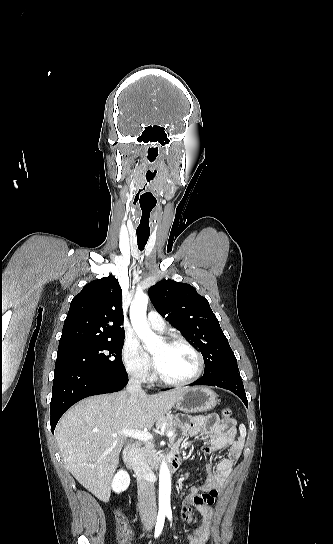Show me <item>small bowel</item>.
Listing matches in <instances>:
<instances>
[{"label": "small bowel", "instance_id": "c3829d8e", "mask_svg": "<svg viewBox=\"0 0 333 544\" xmlns=\"http://www.w3.org/2000/svg\"><path fill=\"white\" fill-rule=\"evenodd\" d=\"M181 427L183 435H203L209 439V444L203 450L206 454L216 453L226 447L229 448L227 457L220 459L215 465L208 464L209 474L202 488L190 487L183 500L182 517L185 522L191 523L193 521V508H196L203 517L201 525L193 534L187 536L188 544H205L212 524L211 505L214 503L219 490L227 481L233 465L241 455L243 439L237 437V431L232 421L223 423L216 415L192 417L183 423ZM182 441L183 437L178 438L174 442V447L178 449Z\"/></svg>", "mask_w": 333, "mask_h": 544}]
</instances>
